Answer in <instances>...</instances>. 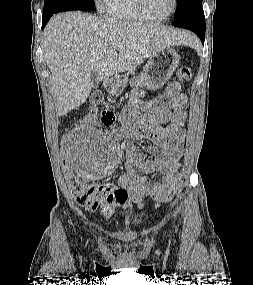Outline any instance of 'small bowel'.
Listing matches in <instances>:
<instances>
[{"label": "small bowel", "instance_id": "small-bowel-1", "mask_svg": "<svg viewBox=\"0 0 253 285\" xmlns=\"http://www.w3.org/2000/svg\"><path fill=\"white\" fill-rule=\"evenodd\" d=\"M143 94V89L132 92L122 116L117 109H100L99 122H103V126L121 123L113 136L126 150L125 173L117 182L118 187L126 188L129 193L124 207H142L147 198L156 202L170 201L180 178L178 170L186 122L183 108L187 96L177 82H172L165 93L153 101H143ZM143 139L153 143L145 154L136 146ZM155 173L161 174L160 181L149 178Z\"/></svg>", "mask_w": 253, "mask_h": 285}]
</instances>
